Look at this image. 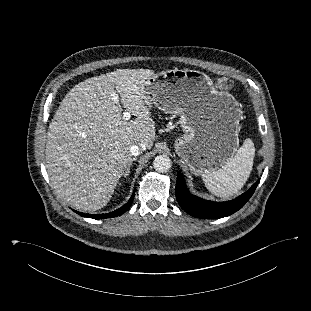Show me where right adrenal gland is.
Listing matches in <instances>:
<instances>
[{
	"label": "right adrenal gland",
	"mask_w": 311,
	"mask_h": 311,
	"mask_svg": "<svg viewBox=\"0 0 311 311\" xmlns=\"http://www.w3.org/2000/svg\"><path fill=\"white\" fill-rule=\"evenodd\" d=\"M136 160H137V158H133V159L131 160V162H130V164L128 165L126 171L124 172V176H125V177L128 176V175L130 174V168H131V166H132V163H133L134 161H136Z\"/></svg>",
	"instance_id": "1"
}]
</instances>
